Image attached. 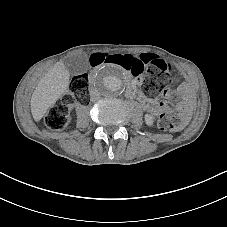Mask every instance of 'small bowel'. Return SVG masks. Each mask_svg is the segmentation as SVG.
Listing matches in <instances>:
<instances>
[{
  "label": "small bowel",
  "instance_id": "c3829d8e",
  "mask_svg": "<svg viewBox=\"0 0 227 227\" xmlns=\"http://www.w3.org/2000/svg\"><path fill=\"white\" fill-rule=\"evenodd\" d=\"M107 64L115 65L112 63H107ZM142 101H143L145 110L152 116H157L167 109L166 104L162 101H158L145 96L142 97ZM179 110L185 115L187 112V103L181 104L179 106Z\"/></svg>",
  "mask_w": 227,
  "mask_h": 227
}]
</instances>
